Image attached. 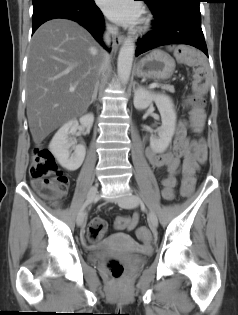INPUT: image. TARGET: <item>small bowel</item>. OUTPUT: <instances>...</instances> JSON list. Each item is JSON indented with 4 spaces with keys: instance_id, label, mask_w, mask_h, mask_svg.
<instances>
[{
    "instance_id": "c3829d8e",
    "label": "small bowel",
    "mask_w": 238,
    "mask_h": 315,
    "mask_svg": "<svg viewBox=\"0 0 238 315\" xmlns=\"http://www.w3.org/2000/svg\"><path fill=\"white\" fill-rule=\"evenodd\" d=\"M185 156L181 173L183 176L182 189L186 184H190L193 190L195 173L199 165L206 160V147L202 140L192 141L186 136L185 128L182 127L175 139L172 147L164 152L158 153L153 149L146 151V157L150 165L156 169L165 168L167 176L162 180V196L166 200H172L175 196L177 175L180 172V159ZM139 222V214L135 213L128 219L129 230L135 228ZM142 248H150V240L143 239Z\"/></svg>"
}]
</instances>
